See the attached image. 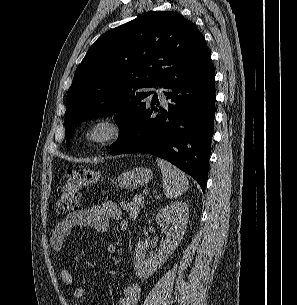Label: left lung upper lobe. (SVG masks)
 I'll list each match as a JSON object with an SVG mask.
<instances>
[{
  "label": "left lung upper lobe",
  "mask_w": 297,
  "mask_h": 305,
  "mask_svg": "<svg viewBox=\"0 0 297 305\" xmlns=\"http://www.w3.org/2000/svg\"><path fill=\"white\" fill-rule=\"evenodd\" d=\"M210 64L203 35L178 12L150 11L103 34L77 67L67 93V145L82 121L98 116H114L121 135L113 145L119 143L149 102L152 92L145 88Z\"/></svg>",
  "instance_id": "obj_1"
}]
</instances>
